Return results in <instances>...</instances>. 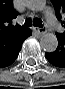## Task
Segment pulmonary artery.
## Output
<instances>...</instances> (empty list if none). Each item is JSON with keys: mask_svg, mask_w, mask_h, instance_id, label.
Listing matches in <instances>:
<instances>
[{"mask_svg": "<svg viewBox=\"0 0 65 89\" xmlns=\"http://www.w3.org/2000/svg\"><path fill=\"white\" fill-rule=\"evenodd\" d=\"M47 22H48V25L52 29H58L59 28V24L53 15H50V14L47 15Z\"/></svg>", "mask_w": 65, "mask_h": 89, "instance_id": "1", "label": "pulmonary artery"}]
</instances>
